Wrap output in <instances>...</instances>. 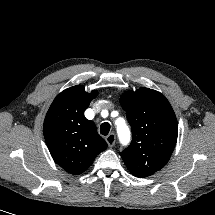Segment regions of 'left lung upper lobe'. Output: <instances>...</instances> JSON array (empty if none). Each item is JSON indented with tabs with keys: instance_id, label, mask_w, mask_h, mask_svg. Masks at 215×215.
<instances>
[{
	"instance_id": "5c2ea615",
	"label": "left lung upper lobe",
	"mask_w": 215,
	"mask_h": 215,
	"mask_svg": "<svg viewBox=\"0 0 215 215\" xmlns=\"http://www.w3.org/2000/svg\"><path fill=\"white\" fill-rule=\"evenodd\" d=\"M120 103L132 128V143L120 155L134 176L148 177L172 155L178 135L175 113L164 95L144 87L123 93Z\"/></svg>"
}]
</instances>
